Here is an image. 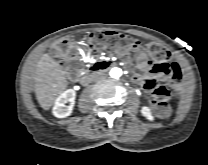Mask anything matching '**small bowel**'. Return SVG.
<instances>
[{"instance_id": "small-bowel-1", "label": "small bowel", "mask_w": 208, "mask_h": 165, "mask_svg": "<svg viewBox=\"0 0 208 165\" xmlns=\"http://www.w3.org/2000/svg\"><path fill=\"white\" fill-rule=\"evenodd\" d=\"M137 67L142 74H135L133 80L142 83L147 91L153 92L157 85L155 78H163L169 86H178L185 76L184 67L178 61L172 60H150L151 56L148 50L139 51L136 56ZM128 61V60H126ZM67 77L70 81L76 82L81 74L78 71L79 66L76 62H69L66 66Z\"/></svg>"}]
</instances>
